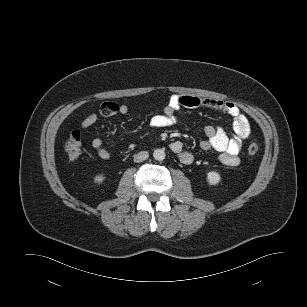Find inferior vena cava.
<instances>
[{
    "label": "inferior vena cava",
    "instance_id": "inferior-vena-cava-1",
    "mask_svg": "<svg viewBox=\"0 0 307 307\" xmlns=\"http://www.w3.org/2000/svg\"><path fill=\"white\" fill-rule=\"evenodd\" d=\"M149 157L148 152L146 151H141L137 154L134 155V162H142L144 160H146Z\"/></svg>",
    "mask_w": 307,
    "mask_h": 307
}]
</instances>
